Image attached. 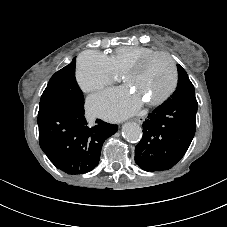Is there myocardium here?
Returning a JSON list of instances; mask_svg holds the SVG:
<instances>
[{"label":"myocardium","mask_w":227,"mask_h":227,"mask_svg":"<svg viewBox=\"0 0 227 227\" xmlns=\"http://www.w3.org/2000/svg\"><path fill=\"white\" fill-rule=\"evenodd\" d=\"M160 56L166 58L170 62L173 72V79L169 89L163 95H161L157 99L146 102V105L148 106H157L164 103L176 90L179 81V73L175 60L167 52L156 51L142 57L124 72V79L126 80V78L141 71L152 59Z\"/></svg>","instance_id":"1"}]
</instances>
